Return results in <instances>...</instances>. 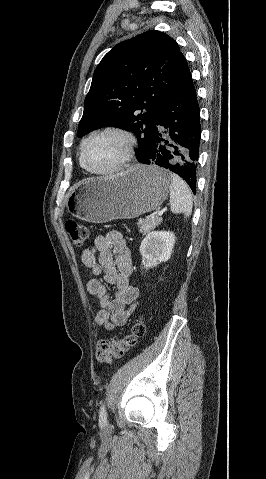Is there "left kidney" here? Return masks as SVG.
Instances as JSON below:
<instances>
[{"label": "left kidney", "instance_id": "obj_1", "mask_svg": "<svg viewBox=\"0 0 266 479\" xmlns=\"http://www.w3.org/2000/svg\"><path fill=\"white\" fill-rule=\"evenodd\" d=\"M175 239V235L172 232H149L142 240L139 249L144 267L152 268L162 261L168 260L172 254Z\"/></svg>", "mask_w": 266, "mask_h": 479}]
</instances>
